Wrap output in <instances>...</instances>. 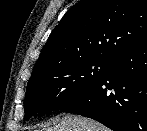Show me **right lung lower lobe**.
<instances>
[{"label": "right lung lower lobe", "mask_w": 147, "mask_h": 131, "mask_svg": "<svg viewBox=\"0 0 147 131\" xmlns=\"http://www.w3.org/2000/svg\"><path fill=\"white\" fill-rule=\"evenodd\" d=\"M63 111L114 131H147V40L117 56L102 80Z\"/></svg>", "instance_id": "right-lung-lower-lobe-1"}]
</instances>
